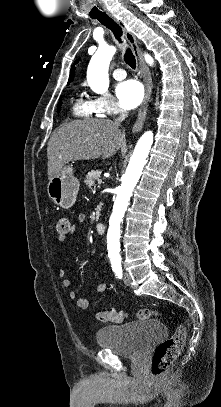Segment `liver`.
I'll list each match as a JSON object with an SVG mask.
<instances>
[{
	"mask_svg": "<svg viewBox=\"0 0 221 407\" xmlns=\"http://www.w3.org/2000/svg\"><path fill=\"white\" fill-rule=\"evenodd\" d=\"M125 133L108 119H84L56 129L47 146L48 179L71 161L107 159L125 147Z\"/></svg>",
	"mask_w": 221,
	"mask_h": 407,
	"instance_id": "6515ba94",
	"label": "liver"
}]
</instances>
